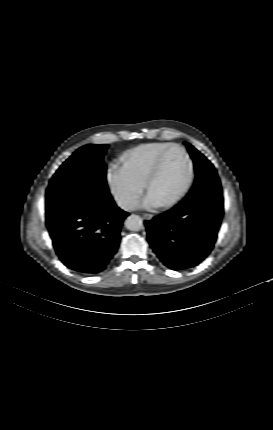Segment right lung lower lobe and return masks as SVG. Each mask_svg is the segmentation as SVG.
Returning a JSON list of instances; mask_svg holds the SVG:
<instances>
[{
    "instance_id": "98d812e1",
    "label": "right lung lower lobe",
    "mask_w": 273,
    "mask_h": 430,
    "mask_svg": "<svg viewBox=\"0 0 273 430\" xmlns=\"http://www.w3.org/2000/svg\"><path fill=\"white\" fill-rule=\"evenodd\" d=\"M128 215L111 196L86 197L46 212V225L63 264L93 275L103 271L116 253Z\"/></svg>"
}]
</instances>
